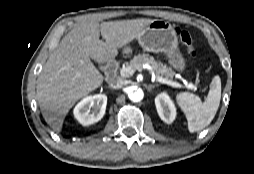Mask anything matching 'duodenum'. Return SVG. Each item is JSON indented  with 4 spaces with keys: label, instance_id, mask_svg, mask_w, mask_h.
<instances>
[{
    "label": "duodenum",
    "instance_id": "410a0bca",
    "mask_svg": "<svg viewBox=\"0 0 254 174\" xmlns=\"http://www.w3.org/2000/svg\"><path fill=\"white\" fill-rule=\"evenodd\" d=\"M117 64L115 60L111 59L107 62L105 74L108 81H113L116 77Z\"/></svg>",
    "mask_w": 254,
    "mask_h": 174
}]
</instances>
